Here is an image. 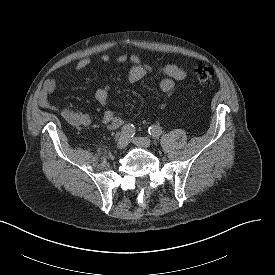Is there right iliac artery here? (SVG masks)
<instances>
[{"label":"right iliac artery","instance_id":"82829eb1","mask_svg":"<svg viewBox=\"0 0 275 275\" xmlns=\"http://www.w3.org/2000/svg\"><path fill=\"white\" fill-rule=\"evenodd\" d=\"M121 133L128 138H132L135 135V127L132 124H126L123 126Z\"/></svg>","mask_w":275,"mask_h":275}]
</instances>
